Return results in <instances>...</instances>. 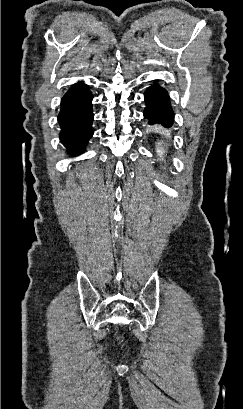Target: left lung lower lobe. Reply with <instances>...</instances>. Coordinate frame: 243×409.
<instances>
[{"instance_id":"left-lung-lower-lobe-1","label":"left lung lower lobe","mask_w":243,"mask_h":409,"mask_svg":"<svg viewBox=\"0 0 243 409\" xmlns=\"http://www.w3.org/2000/svg\"><path fill=\"white\" fill-rule=\"evenodd\" d=\"M144 118L149 120V124H162L171 127L174 121V112L170 105V98L167 91L154 83L145 92Z\"/></svg>"}]
</instances>
